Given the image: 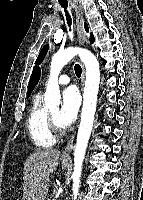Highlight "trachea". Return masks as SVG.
<instances>
[{
    "label": "trachea",
    "mask_w": 143,
    "mask_h": 200,
    "mask_svg": "<svg viewBox=\"0 0 143 200\" xmlns=\"http://www.w3.org/2000/svg\"><path fill=\"white\" fill-rule=\"evenodd\" d=\"M59 3L61 5V7L64 8L66 21H67V24L70 27V31H71L72 19H71L69 12L67 11L68 3L66 0H59ZM74 70H75L76 76L79 78L81 76V72H82L81 66L79 64H76L74 66Z\"/></svg>",
    "instance_id": "obj_1"
}]
</instances>
